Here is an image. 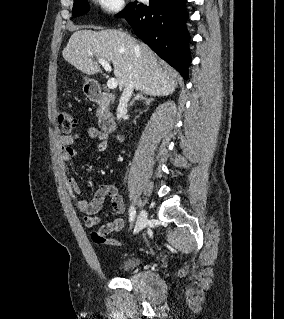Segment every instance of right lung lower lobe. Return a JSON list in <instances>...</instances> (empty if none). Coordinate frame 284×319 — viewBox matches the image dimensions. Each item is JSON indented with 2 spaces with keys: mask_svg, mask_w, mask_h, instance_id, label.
Instances as JSON below:
<instances>
[{
  "mask_svg": "<svg viewBox=\"0 0 284 319\" xmlns=\"http://www.w3.org/2000/svg\"><path fill=\"white\" fill-rule=\"evenodd\" d=\"M187 0H149L130 3L117 15L125 17L136 35L187 79L191 61L185 23Z\"/></svg>",
  "mask_w": 284,
  "mask_h": 319,
  "instance_id": "98d812e1",
  "label": "right lung lower lobe"
}]
</instances>
